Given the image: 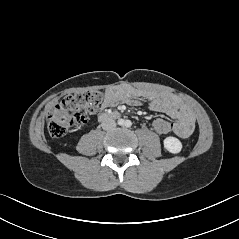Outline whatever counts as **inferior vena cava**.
I'll use <instances>...</instances> for the list:
<instances>
[{"instance_id":"obj_1","label":"inferior vena cava","mask_w":239,"mask_h":239,"mask_svg":"<svg viewBox=\"0 0 239 239\" xmlns=\"http://www.w3.org/2000/svg\"><path fill=\"white\" fill-rule=\"evenodd\" d=\"M104 130H112L116 127V122L113 119L107 118L101 124Z\"/></svg>"}]
</instances>
